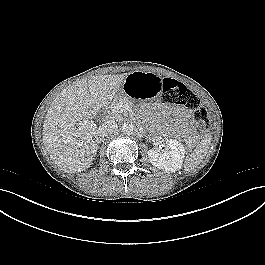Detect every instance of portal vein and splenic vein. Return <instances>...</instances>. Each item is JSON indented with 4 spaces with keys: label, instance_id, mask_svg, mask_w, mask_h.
Segmentation results:
<instances>
[{
    "label": "portal vein and splenic vein",
    "instance_id": "portal-vein-and-splenic-vein-1",
    "mask_svg": "<svg viewBox=\"0 0 265 265\" xmlns=\"http://www.w3.org/2000/svg\"><path fill=\"white\" fill-rule=\"evenodd\" d=\"M126 109V105H123V104H119L117 107H116V110L118 112H123L124 110Z\"/></svg>",
    "mask_w": 265,
    "mask_h": 265
}]
</instances>
